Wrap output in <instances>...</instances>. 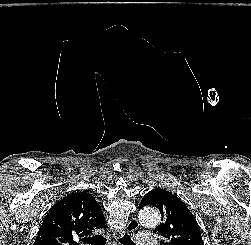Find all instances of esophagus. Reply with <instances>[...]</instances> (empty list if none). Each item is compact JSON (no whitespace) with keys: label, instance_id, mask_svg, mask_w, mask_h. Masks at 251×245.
I'll return each instance as SVG.
<instances>
[{"label":"esophagus","instance_id":"esophagus-1","mask_svg":"<svg viewBox=\"0 0 251 245\" xmlns=\"http://www.w3.org/2000/svg\"><path fill=\"white\" fill-rule=\"evenodd\" d=\"M139 228V222L136 218H131L126 226L127 232H134ZM123 236L122 232H118L115 236L116 239Z\"/></svg>","mask_w":251,"mask_h":245}]
</instances>
